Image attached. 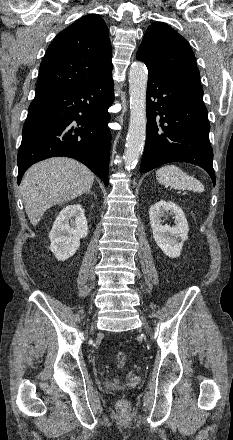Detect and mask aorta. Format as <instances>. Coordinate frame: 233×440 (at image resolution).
I'll list each match as a JSON object with an SVG mask.
<instances>
[{"label":"aorta","mask_w":233,"mask_h":440,"mask_svg":"<svg viewBox=\"0 0 233 440\" xmlns=\"http://www.w3.org/2000/svg\"><path fill=\"white\" fill-rule=\"evenodd\" d=\"M148 71L142 62H135L129 70L130 122L126 138L124 161L126 169L138 163L146 138V89Z\"/></svg>","instance_id":"obj_1"}]
</instances>
